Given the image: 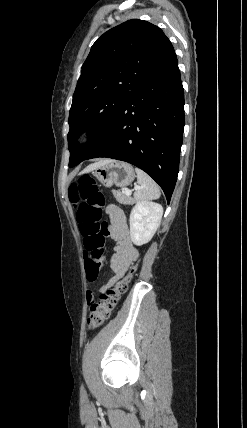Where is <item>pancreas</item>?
Returning a JSON list of instances; mask_svg holds the SVG:
<instances>
[{"label":"pancreas","instance_id":"1","mask_svg":"<svg viewBox=\"0 0 247 428\" xmlns=\"http://www.w3.org/2000/svg\"><path fill=\"white\" fill-rule=\"evenodd\" d=\"M112 193L116 200L125 205H133L135 203V199H133L131 196L125 195L123 192L112 190Z\"/></svg>","mask_w":247,"mask_h":428}]
</instances>
